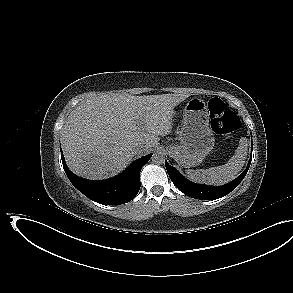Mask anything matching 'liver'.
Listing matches in <instances>:
<instances>
[{
  "label": "liver",
  "instance_id": "6515ba94",
  "mask_svg": "<svg viewBox=\"0 0 293 293\" xmlns=\"http://www.w3.org/2000/svg\"><path fill=\"white\" fill-rule=\"evenodd\" d=\"M188 97L105 94L87 100L69 114L61 131L69 169L92 180L117 175L135 155L150 152L158 136L171 132L174 108Z\"/></svg>",
  "mask_w": 293,
  "mask_h": 293
}]
</instances>
